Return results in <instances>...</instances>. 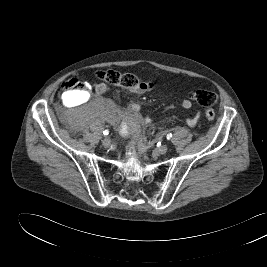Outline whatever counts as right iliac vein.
Here are the masks:
<instances>
[{
    "instance_id": "1",
    "label": "right iliac vein",
    "mask_w": 267,
    "mask_h": 267,
    "mask_svg": "<svg viewBox=\"0 0 267 267\" xmlns=\"http://www.w3.org/2000/svg\"><path fill=\"white\" fill-rule=\"evenodd\" d=\"M102 144L105 148H108L111 144L110 138H108V137L104 138V140L102 141Z\"/></svg>"
}]
</instances>
